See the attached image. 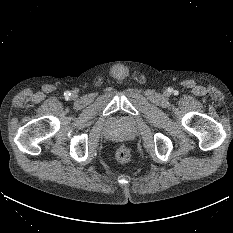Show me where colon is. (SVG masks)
Here are the masks:
<instances>
[{
  "mask_svg": "<svg viewBox=\"0 0 233 233\" xmlns=\"http://www.w3.org/2000/svg\"><path fill=\"white\" fill-rule=\"evenodd\" d=\"M115 156H116L117 161H119L120 163H127L131 159V151L126 146H120L116 150Z\"/></svg>",
  "mask_w": 233,
  "mask_h": 233,
  "instance_id": "5ec220e1",
  "label": "colon"
}]
</instances>
